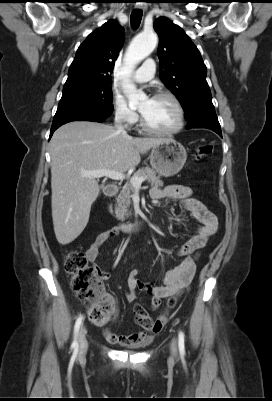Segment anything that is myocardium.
<instances>
[{
	"mask_svg": "<svg viewBox=\"0 0 272 401\" xmlns=\"http://www.w3.org/2000/svg\"><path fill=\"white\" fill-rule=\"evenodd\" d=\"M158 98L169 99L174 104L178 114L177 124L172 129L169 130L154 129L145 122L142 114L140 113L139 115L140 128L148 134L158 135V136H172L179 133L185 125V111L180 100L170 92H157L152 96V99H158Z\"/></svg>",
	"mask_w": 272,
	"mask_h": 401,
	"instance_id": "obj_1",
	"label": "myocardium"
}]
</instances>
